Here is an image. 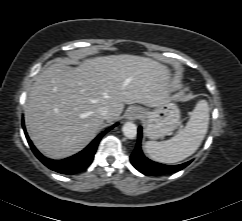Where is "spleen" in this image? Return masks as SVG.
<instances>
[{"mask_svg": "<svg viewBox=\"0 0 242 221\" xmlns=\"http://www.w3.org/2000/svg\"><path fill=\"white\" fill-rule=\"evenodd\" d=\"M209 125V105L206 100H200L186 126L180 132L166 141H147L145 150L155 161L173 164L186 159L196 152L201 145Z\"/></svg>", "mask_w": 242, "mask_h": 221, "instance_id": "spleen-1", "label": "spleen"}]
</instances>
